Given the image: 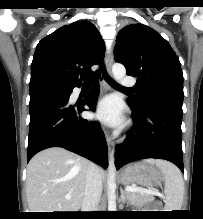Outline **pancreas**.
<instances>
[{"label": "pancreas", "instance_id": "pancreas-1", "mask_svg": "<svg viewBox=\"0 0 203 219\" xmlns=\"http://www.w3.org/2000/svg\"><path fill=\"white\" fill-rule=\"evenodd\" d=\"M127 199L132 202L147 203L154 200L153 194L140 193V192H127Z\"/></svg>", "mask_w": 203, "mask_h": 219}]
</instances>
